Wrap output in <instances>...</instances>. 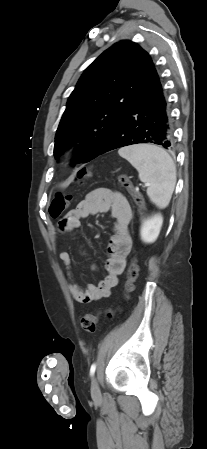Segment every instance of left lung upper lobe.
I'll list each match as a JSON object with an SVG mask.
<instances>
[{"mask_svg":"<svg viewBox=\"0 0 207 449\" xmlns=\"http://www.w3.org/2000/svg\"><path fill=\"white\" fill-rule=\"evenodd\" d=\"M154 72L151 57L137 43L121 41L104 51L86 68L68 99L55 137V157L79 143L82 154L75 163L95 158Z\"/></svg>","mask_w":207,"mask_h":449,"instance_id":"obj_1","label":"left lung upper lobe"}]
</instances>
